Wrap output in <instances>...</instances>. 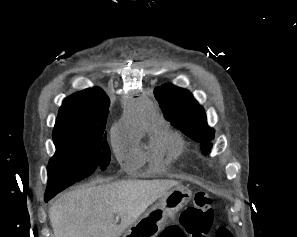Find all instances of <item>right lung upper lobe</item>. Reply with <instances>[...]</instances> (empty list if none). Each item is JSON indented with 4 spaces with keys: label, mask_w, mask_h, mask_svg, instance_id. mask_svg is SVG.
<instances>
[{
    "label": "right lung upper lobe",
    "mask_w": 297,
    "mask_h": 237,
    "mask_svg": "<svg viewBox=\"0 0 297 237\" xmlns=\"http://www.w3.org/2000/svg\"><path fill=\"white\" fill-rule=\"evenodd\" d=\"M110 100L99 87L88 88L77 92L62 102L55 127L104 126Z\"/></svg>",
    "instance_id": "obj_1"
}]
</instances>
